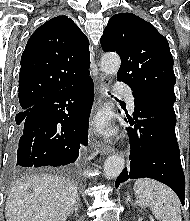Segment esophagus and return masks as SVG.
I'll use <instances>...</instances> for the list:
<instances>
[{
    "mask_svg": "<svg viewBox=\"0 0 190 221\" xmlns=\"http://www.w3.org/2000/svg\"><path fill=\"white\" fill-rule=\"evenodd\" d=\"M111 80L104 74L99 75L98 79V93H99V103H101L102 98L105 96L107 90L110 89ZM113 148L111 146L101 144V152L104 155L111 154L113 152Z\"/></svg>",
    "mask_w": 190,
    "mask_h": 221,
    "instance_id": "1",
    "label": "esophagus"
}]
</instances>
